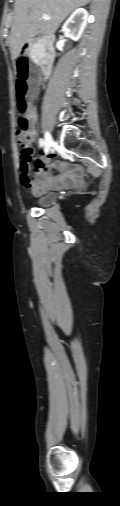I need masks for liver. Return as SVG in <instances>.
Returning <instances> with one entry per match:
<instances>
[{
    "label": "liver",
    "mask_w": 120,
    "mask_h": 506,
    "mask_svg": "<svg viewBox=\"0 0 120 506\" xmlns=\"http://www.w3.org/2000/svg\"><path fill=\"white\" fill-rule=\"evenodd\" d=\"M91 0H15L9 37L12 58H17L24 44L36 35L51 36L75 9ZM50 20H43L42 15Z\"/></svg>",
    "instance_id": "6515ba94"
}]
</instances>
